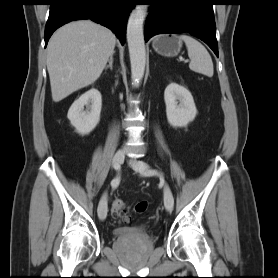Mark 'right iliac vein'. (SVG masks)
<instances>
[{
	"label": "right iliac vein",
	"instance_id": "1",
	"mask_svg": "<svg viewBox=\"0 0 278 278\" xmlns=\"http://www.w3.org/2000/svg\"><path fill=\"white\" fill-rule=\"evenodd\" d=\"M125 158V154L122 151H118L115 153L113 157V165L120 166L123 164ZM98 216L101 220H104L107 216V196L106 194H103V196L100 199L99 205H98Z\"/></svg>",
	"mask_w": 278,
	"mask_h": 278
}]
</instances>
